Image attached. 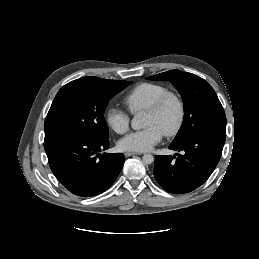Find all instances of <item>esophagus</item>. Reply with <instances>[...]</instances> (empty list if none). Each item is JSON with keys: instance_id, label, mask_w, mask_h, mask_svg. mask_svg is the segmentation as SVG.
Here are the masks:
<instances>
[{"instance_id": "esophagus-1", "label": "esophagus", "mask_w": 259, "mask_h": 259, "mask_svg": "<svg viewBox=\"0 0 259 259\" xmlns=\"http://www.w3.org/2000/svg\"><path fill=\"white\" fill-rule=\"evenodd\" d=\"M141 153H137V152H125V156L126 157H130V156H134V155H140Z\"/></svg>"}]
</instances>
